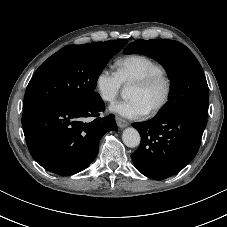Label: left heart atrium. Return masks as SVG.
I'll return each mask as SVG.
<instances>
[{"instance_id":"obj_1","label":"left heart atrium","mask_w":227,"mask_h":227,"mask_svg":"<svg viewBox=\"0 0 227 227\" xmlns=\"http://www.w3.org/2000/svg\"><path fill=\"white\" fill-rule=\"evenodd\" d=\"M109 109L125 119H138L148 113L143 103L136 98L118 101L111 105Z\"/></svg>"}]
</instances>
